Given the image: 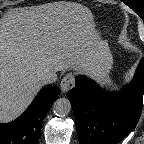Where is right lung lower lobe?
<instances>
[{"instance_id": "1", "label": "right lung lower lobe", "mask_w": 144, "mask_h": 144, "mask_svg": "<svg viewBox=\"0 0 144 144\" xmlns=\"http://www.w3.org/2000/svg\"><path fill=\"white\" fill-rule=\"evenodd\" d=\"M59 93L58 86L41 90L18 119L0 124V144H37L43 119Z\"/></svg>"}]
</instances>
